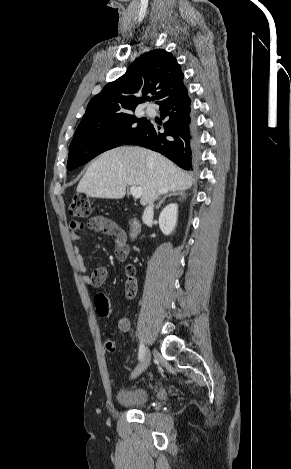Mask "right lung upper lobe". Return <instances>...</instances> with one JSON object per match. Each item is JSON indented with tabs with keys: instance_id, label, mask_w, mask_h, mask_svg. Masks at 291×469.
Listing matches in <instances>:
<instances>
[{
	"instance_id": "cb5924a9",
	"label": "right lung upper lobe",
	"mask_w": 291,
	"mask_h": 469,
	"mask_svg": "<svg viewBox=\"0 0 291 469\" xmlns=\"http://www.w3.org/2000/svg\"><path fill=\"white\" fill-rule=\"evenodd\" d=\"M183 79L181 67L171 53L163 49L147 52L91 99L81 121L132 112L148 93L155 94L159 104L184 87Z\"/></svg>"
}]
</instances>
